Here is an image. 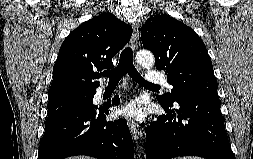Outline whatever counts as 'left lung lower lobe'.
I'll list each match as a JSON object with an SVG mask.
<instances>
[{
    "label": "left lung lower lobe",
    "instance_id": "left-lung-lower-lobe-1",
    "mask_svg": "<svg viewBox=\"0 0 253 159\" xmlns=\"http://www.w3.org/2000/svg\"><path fill=\"white\" fill-rule=\"evenodd\" d=\"M158 99V98H157ZM167 115H160L146 134V159L200 156L235 159L224 128L218 96L179 97L178 109L158 99Z\"/></svg>",
    "mask_w": 253,
    "mask_h": 159
}]
</instances>
